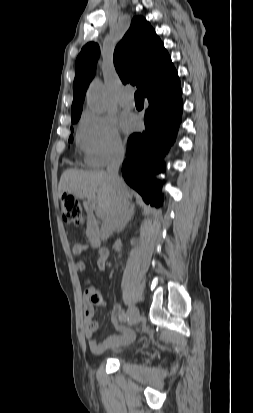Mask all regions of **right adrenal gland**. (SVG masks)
I'll use <instances>...</instances> for the list:
<instances>
[{"label": "right adrenal gland", "mask_w": 253, "mask_h": 413, "mask_svg": "<svg viewBox=\"0 0 253 413\" xmlns=\"http://www.w3.org/2000/svg\"><path fill=\"white\" fill-rule=\"evenodd\" d=\"M134 214H135V206L131 205L129 210L127 211V215H126V218H125L124 222L122 223L120 228L117 229V232H120L125 228L127 223L132 220Z\"/></svg>", "instance_id": "obj_1"}]
</instances>
